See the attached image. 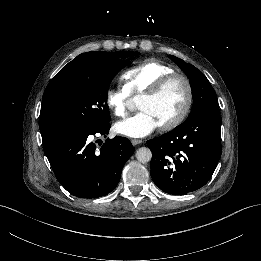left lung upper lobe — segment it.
<instances>
[{
  "label": "left lung upper lobe",
  "mask_w": 261,
  "mask_h": 261,
  "mask_svg": "<svg viewBox=\"0 0 261 261\" xmlns=\"http://www.w3.org/2000/svg\"><path fill=\"white\" fill-rule=\"evenodd\" d=\"M169 58L177 63L186 73L191 85L194 102L186 121L206 112L220 113L216 93L205 75L193 65L185 63L182 59L173 55H169Z\"/></svg>",
  "instance_id": "1"
}]
</instances>
